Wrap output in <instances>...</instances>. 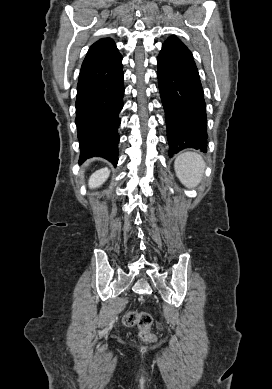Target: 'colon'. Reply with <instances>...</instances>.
<instances>
[{
    "label": "colon",
    "instance_id": "5ec220e1",
    "mask_svg": "<svg viewBox=\"0 0 272 389\" xmlns=\"http://www.w3.org/2000/svg\"><path fill=\"white\" fill-rule=\"evenodd\" d=\"M127 327H138L141 339L147 343L154 342L156 335L152 331L153 317L147 312H127L122 319Z\"/></svg>",
    "mask_w": 272,
    "mask_h": 389
}]
</instances>
